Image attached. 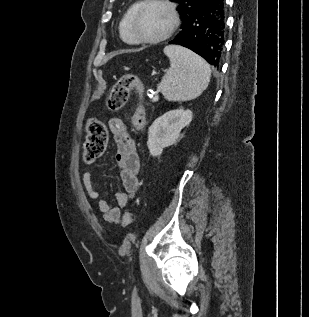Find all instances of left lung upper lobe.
<instances>
[{"label":"left lung upper lobe","instance_id":"obj_1","mask_svg":"<svg viewBox=\"0 0 309 317\" xmlns=\"http://www.w3.org/2000/svg\"><path fill=\"white\" fill-rule=\"evenodd\" d=\"M173 2L179 3L177 8L183 22L186 18L197 8L199 7L205 0H171Z\"/></svg>","mask_w":309,"mask_h":317}]
</instances>
